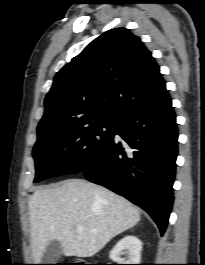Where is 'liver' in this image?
<instances>
[{"mask_svg":"<svg viewBox=\"0 0 205 265\" xmlns=\"http://www.w3.org/2000/svg\"><path fill=\"white\" fill-rule=\"evenodd\" d=\"M29 214L36 264L50 241H59L65 256L91 257L140 221V211L128 200L82 179L36 190ZM78 226L84 230L78 232Z\"/></svg>","mask_w":205,"mask_h":265,"instance_id":"6515ba94","label":"liver"}]
</instances>
